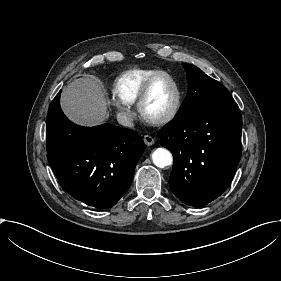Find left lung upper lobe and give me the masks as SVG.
I'll list each match as a JSON object with an SVG mask.
<instances>
[{"label":"left lung upper lobe","instance_id":"1","mask_svg":"<svg viewBox=\"0 0 281 281\" xmlns=\"http://www.w3.org/2000/svg\"><path fill=\"white\" fill-rule=\"evenodd\" d=\"M187 72L188 91L176 117L211 107L235 103L227 89L191 64H182Z\"/></svg>","mask_w":281,"mask_h":281}]
</instances>
